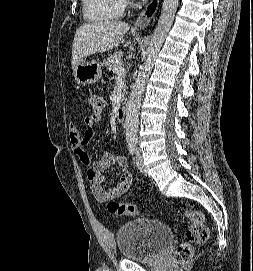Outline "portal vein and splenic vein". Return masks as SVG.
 I'll return each mask as SVG.
<instances>
[{"label": "portal vein and splenic vein", "mask_w": 253, "mask_h": 271, "mask_svg": "<svg viewBox=\"0 0 253 271\" xmlns=\"http://www.w3.org/2000/svg\"><path fill=\"white\" fill-rule=\"evenodd\" d=\"M115 72L118 76H123L126 73V70L124 67H117L115 68Z\"/></svg>", "instance_id": "portal-vein-and-splenic-vein-1"}]
</instances>
